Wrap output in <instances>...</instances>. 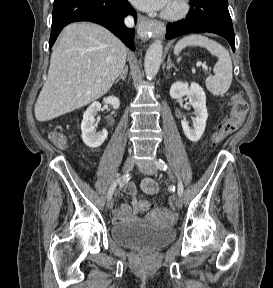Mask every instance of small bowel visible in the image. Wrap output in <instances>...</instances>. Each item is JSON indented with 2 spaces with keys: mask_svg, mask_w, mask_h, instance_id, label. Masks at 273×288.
Wrapping results in <instances>:
<instances>
[{
  "mask_svg": "<svg viewBox=\"0 0 273 288\" xmlns=\"http://www.w3.org/2000/svg\"><path fill=\"white\" fill-rule=\"evenodd\" d=\"M141 189L147 194H155L158 191L157 183L147 178L143 180L141 184ZM126 191L130 198L132 199V205L121 204L114 209L113 218L115 222H132L136 221V215L140 212L137 208V192L134 185L129 184L126 188Z\"/></svg>",
  "mask_w": 273,
  "mask_h": 288,
  "instance_id": "1",
  "label": "small bowel"
}]
</instances>
